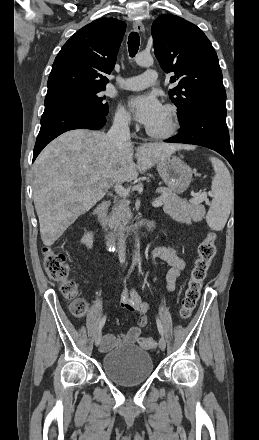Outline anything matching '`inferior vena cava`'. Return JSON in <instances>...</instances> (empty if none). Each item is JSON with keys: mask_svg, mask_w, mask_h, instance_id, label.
Masks as SVG:
<instances>
[{"mask_svg": "<svg viewBox=\"0 0 259 440\" xmlns=\"http://www.w3.org/2000/svg\"><path fill=\"white\" fill-rule=\"evenodd\" d=\"M129 122L130 120L127 118L116 119L106 135L108 140L113 142L118 147L123 144H129L130 143ZM118 236H119L118 258H119V262L121 264H124L126 260V246H125L124 232L122 229L119 230Z\"/></svg>", "mask_w": 259, "mask_h": 440, "instance_id": "obj_1", "label": "inferior vena cava"}]
</instances>
